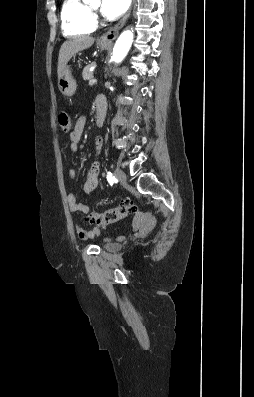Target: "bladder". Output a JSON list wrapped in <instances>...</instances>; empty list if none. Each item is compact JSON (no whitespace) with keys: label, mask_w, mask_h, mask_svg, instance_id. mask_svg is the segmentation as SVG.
Wrapping results in <instances>:
<instances>
[{"label":"bladder","mask_w":254,"mask_h":397,"mask_svg":"<svg viewBox=\"0 0 254 397\" xmlns=\"http://www.w3.org/2000/svg\"><path fill=\"white\" fill-rule=\"evenodd\" d=\"M103 248L108 252H115L120 249V245L114 242H107L103 245Z\"/></svg>","instance_id":"31cf9c89"}]
</instances>
